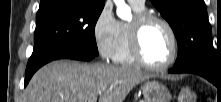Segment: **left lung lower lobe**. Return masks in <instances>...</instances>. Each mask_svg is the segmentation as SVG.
<instances>
[{
    "label": "left lung lower lobe",
    "instance_id": "0a47b994",
    "mask_svg": "<svg viewBox=\"0 0 221 102\" xmlns=\"http://www.w3.org/2000/svg\"><path fill=\"white\" fill-rule=\"evenodd\" d=\"M169 73H194L206 78L207 80H209L210 82H212L217 86L220 83V78L219 76L216 75V73H214L209 68L198 64H188V65L173 67L172 69L169 70Z\"/></svg>",
    "mask_w": 221,
    "mask_h": 102
}]
</instances>
